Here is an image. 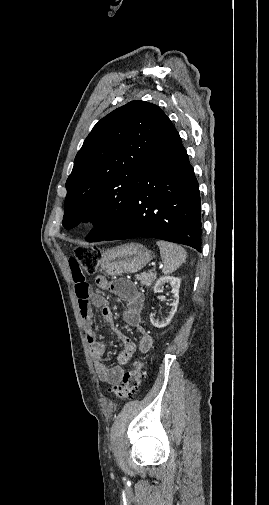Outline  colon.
<instances>
[{
	"mask_svg": "<svg viewBox=\"0 0 269 505\" xmlns=\"http://www.w3.org/2000/svg\"><path fill=\"white\" fill-rule=\"evenodd\" d=\"M100 258V251L94 246H82L75 250V257L80 262V268L84 274H94L97 270ZM144 375V363L135 361L133 368L127 371L122 378V382L113 385L112 391L121 399H130L135 396Z\"/></svg>",
	"mask_w": 269,
	"mask_h": 505,
	"instance_id": "obj_1",
	"label": "colon"
}]
</instances>
